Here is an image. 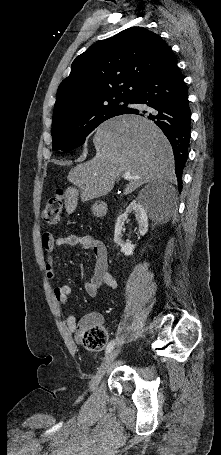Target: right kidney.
I'll return each mask as SVG.
<instances>
[{
  "mask_svg": "<svg viewBox=\"0 0 221 455\" xmlns=\"http://www.w3.org/2000/svg\"><path fill=\"white\" fill-rule=\"evenodd\" d=\"M131 212L135 213L136 220L138 221L139 234L144 236L148 231V216L146 210L137 200H133L126 208V211L117 218L115 224L114 242L121 247V252H123L126 256L133 255V251L135 249V245L131 243H124L121 239L122 226L126 221L128 214Z\"/></svg>",
  "mask_w": 221,
  "mask_h": 455,
  "instance_id": "obj_1",
  "label": "right kidney"
}]
</instances>
